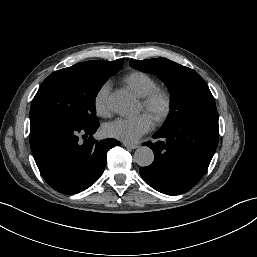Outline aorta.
Wrapping results in <instances>:
<instances>
[{"mask_svg":"<svg viewBox=\"0 0 257 257\" xmlns=\"http://www.w3.org/2000/svg\"><path fill=\"white\" fill-rule=\"evenodd\" d=\"M108 103L114 112L121 115H132L137 111L136 99L126 89H119L111 93ZM134 160L141 167L149 166L154 161V153L151 148L141 146L135 151Z\"/></svg>","mask_w":257,"mask_h":257,"instance_id":"1","label":"aorta"}]
</instances>
